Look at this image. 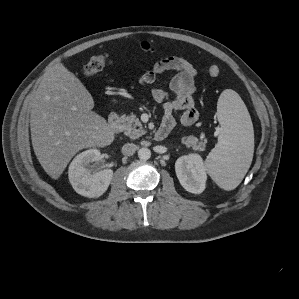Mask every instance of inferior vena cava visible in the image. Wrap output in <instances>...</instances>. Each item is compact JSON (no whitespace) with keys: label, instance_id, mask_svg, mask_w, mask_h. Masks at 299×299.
<instances>
[{"label":"inferior vena cava","instance_id":"602c4592","mask_svg":"<svg viewBox=\"0 0 299 299\" xmlns=\"http://www.w3.org/2000/svg\"><path fill=\"white\" fill-rule=\"evenodd\" d=\"M137 146L133 143H126L122 147V153L127 156H131L135 153Z\"/></svg>","mask_w":299,"mask_h":299}]
</instances>
